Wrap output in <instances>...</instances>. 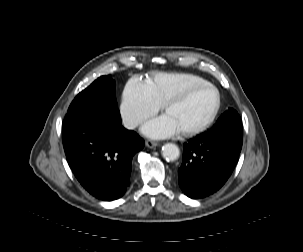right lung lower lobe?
I'll return each mask as SVG.
<instances>
[{
    "label": "right lung lower lobe",
    "instance_id": "obj_1",
    "mask_svg": "<svg viewBox=\"0 0 303 252\" xmlns=\"http://www.w3.org/2000/svg\"><path fill=\"white\" fill-rule=\"evenodd\" d=\"M62 132L67 161L81 185L98 199L120 198L130 184L132 157L144 140L122 127L119 110L90 107L66 115Z\"/></svg>",
    "mask_w": 303,
    "mask_h": 252
}]
</instances>
